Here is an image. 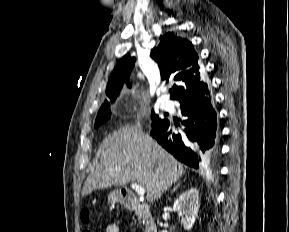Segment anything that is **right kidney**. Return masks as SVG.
I'll list each match as a JSON object with an SVG mask.
<instances>
[{
  "label": "right kidney",
  "mask_w": 289,
  "mask_h": 232,
  "mask_svg": "<svg viewBox=\"0 0 289 232\" xmlns=\"http://www.w3.org/2000/svg\"><path fill=\"white\" fill-rule=\"evenodd\" d=\"M173 209L178 212L185 230H191L199 209V191L191 188L181 193L175 200ZM161 232H167L163 230Z\"/></svg>",
  "instance_id": "1"
}]
</instances>
